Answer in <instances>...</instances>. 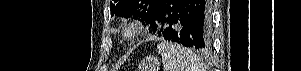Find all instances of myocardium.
<instances>
[{
    "mask_svg": "<svg viewBox=\"0 0 301 71\" xmlns=\"http://www.w3.org/2000/svg\"><path fill=\"white\" fill-rule=\"evenodd\" d=\"M144 29V24L140 20H133L124 24L120 35L122 39L129 41L135 39Z\"/></svg>",
    "mask_w": 301,
    "mask_h": 71,
    "instance_id": "obj_1",
    "label": "myocardium"
}]
</instances>
